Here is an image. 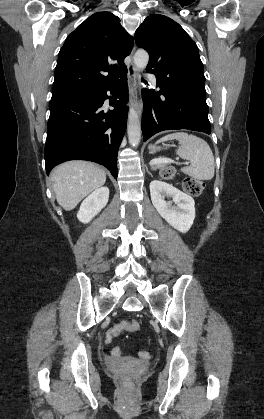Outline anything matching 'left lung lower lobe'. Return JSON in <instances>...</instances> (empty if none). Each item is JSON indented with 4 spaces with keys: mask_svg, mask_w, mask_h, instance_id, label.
<instances>
[{
    "mask_svg": "<svg viewBox=\"0 0 264 419\" xmlns=\"http://www.w3.org/2000/svg\"><path fill=\"white\" fill-rule=\"evenodd\" d=\"M156 86L159 87L157 92L142 90L144 141L164 130L189 129L211 133L204 85L189 89L185 83L163 84L157 80Z\"/></svg>",
    "mask_w": 264,
    "mask_h": 419,
    "instance_id": "0a47b994",
    "label": "left lung lower lobe"
}]
</instances>
